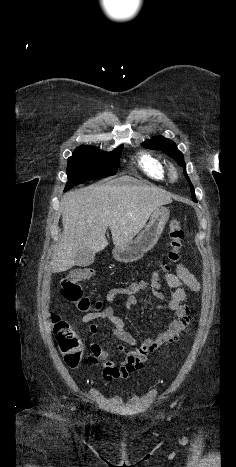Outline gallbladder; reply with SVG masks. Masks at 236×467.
Segmentation results:
<instances>
[{"label":"gallbladder","instance_id":"1","mask_svg":"<svg viewBox=\"0 0 236 467\" xmlns=\"http://www.w3.org/2000/svg\"><path fill=\"white\" fill-rule=\"evenodd\" d=\"M95 260V254L88 248L81 249L76 254V265L80 267L90 266Z\"/></svg>","mask_w":236,"mask_h":467}]
</instances>
